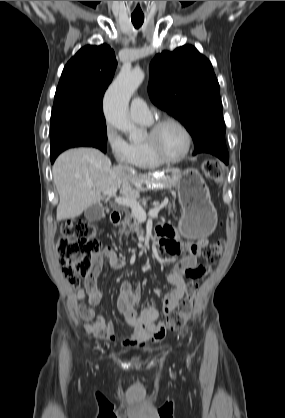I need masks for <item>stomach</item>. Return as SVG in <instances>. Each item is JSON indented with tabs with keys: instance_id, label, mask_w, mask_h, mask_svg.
Listing matches in <instances>:
<instances>
[{
	"instance_id": "obj_1",
	"label": "stomach",
	"mask_w": 285,
	"mask_h": 418,
	"mask_svg": "<svg viewBox=\"0 0 285 418\" xmlns=\"http://www.w3.org/2000/svg\"><path fill=\"white\" fill-rule=\"evenodd\" d=\"M178 199L182 208L179 230L188 239L210 235L217 223V213L204 179L196 169L180 172Z\"/></svg>"
}]
</instances>
